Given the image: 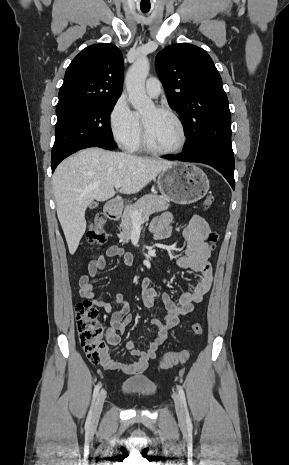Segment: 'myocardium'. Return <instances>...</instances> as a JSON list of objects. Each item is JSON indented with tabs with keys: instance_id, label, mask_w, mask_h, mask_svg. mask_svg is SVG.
Here are the masks:
<instances>
[{
	"instance_id": "f54148a6",
	"label": "myocardium",
	"mask_w": 289,
	"mask_h": 465,
	"mask_svg": "<svg viewBox=\"0 0 289 465\" xmlns=\"http://www.w3.org/2000/svg\"><path fill=\"white\" fill-rule=\"evenodd\" d=\"M157 111L164 112L168 114L170 117L174 119V121L177 123L180 133H181V141L180 144L174 148V149H169V150H164V149H159L154 147L148 138L147 134V129L145 126V123L141 117V144L142 147L149 153L155 154V155H161V156H167V155H174L177 153H180L186 146L187 140H188V135H187V130L184 125V122L180 118V116L170 107L165 106V105H160V106H155L154 107Z\"/></svg>"
}]
</instances>
